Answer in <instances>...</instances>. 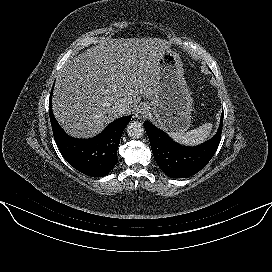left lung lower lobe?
<instances>
[{"label": "left lung lower lobe", "mask_w": 272, "mask_h": 272, "mask_svg": "<svg viewBox=\"0 0 272 272\" xmlns=\"http://www.w3.org/2000/svg\"><path fill=\"white\" fill-rule=\"evenodd\" d=\"M222 126L223 113L219 129L212 139L196 147H186L173 142L152 123H144L155 161L171 178L190 177L207 165L220 143Z\"/></svg>", "instance_id": "left-lung-lower-lobe-1"}]
</instances>
